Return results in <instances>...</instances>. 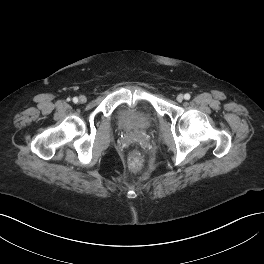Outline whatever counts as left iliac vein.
Instances as JSON below:
<instances>
[{
	"mask_svg": "<svg viewBox=\"0 0 264 264\" xmlns=\"http://www.w3.org/2000/svg\"><path fill=\"white\" fill-rule=\"evenodd\" d=\"M176 99L178 102H182L184 99V96L182 94H179Z\"/></svg>",
	"mask_w": 264,
	"mask_h": 264,
	"instance_id": "4c4485c4",
	"label": "left iliac vein"
}]
</instances>
